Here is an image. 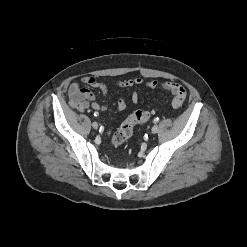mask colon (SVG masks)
<instances>
[{
	"label": "colon",
	"instance_id": "1",
	"mask_svg": "<svg viewBox=\"0 0 247 247\" xmlns=\"http://www.w3.org/2000/svg\"><path fill=\"white\" fill-rule=\"evenodd\" d=\"M151 112L145 110H137L132 113L120 126L118 131L113 136L112 142L114 145H120L126 142L133 134L135 127L142 122L148 120Z\"/></svg>",
	"mask_w": 247,
	"mask_h": 247
}]
</instances>
